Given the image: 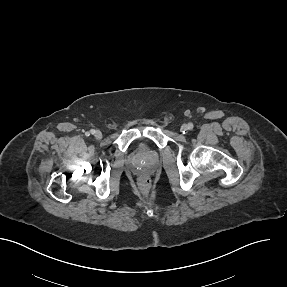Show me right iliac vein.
Listing matches in <instances>:
<instances>
[{
    "label": "right iliac vein",
    "mask_w": 287,
    "mask_h": 287,
    "mask_svg": "<svg viewBox=\"0 0 287 287\" xmlns=\"http://www.w3.org/2000/svg\"><path fill=\"white\" fill-rule=\"evenodd\" d=\"M93 135H94V137L96 139H101L102 138V133L99 130H96Z\"/></svg>",
    "instance_id": "right-iliac-vein-1"
}]
</instances>
